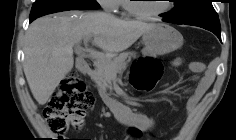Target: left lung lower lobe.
I'll list each match as a JSON object with an SVG mask.
<instances>
[{"instance_id":"left-lung-lower-lobe-1","label":"left lung lower lobe","mask_w":236,"mask_h":140,"mask_svg":"<svg viewBox=\"0 0 236 140\" xmlns=\"http://www.w3.org/2000/svg\"><path fill=\"white\" fill-rule=\"evenodd\" d=\"M163 21L165 22H169L167 18L164 17ZM205 29V28H204ZM208 30V29H207ZM211 32H213L218 38L219 40L221 41V32H217V31H213V30H209Z\"/></svg>"}]
</instances>
